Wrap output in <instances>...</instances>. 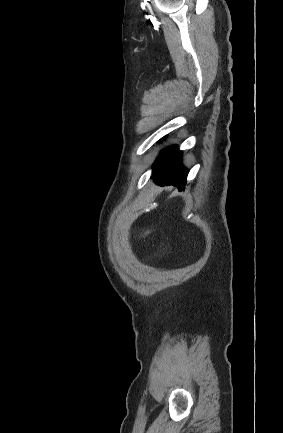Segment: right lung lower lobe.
Listing matches in <instances>:
<instances>
[{"label": "right lung lower lobe", "mask_w": 283, "mask_h": 433, "mask_svg": "<svg viewBox=\"0 0 283 433\" xmlns=\"http://www.w3.org/2000/svg\"><path fill=\"white\" fill-rule=\"evenodd\" d=\"M181 151L178 147H170L161 152L154 163L153 177L159 185H174L183 190L188 171L180 165Z\"/></svg>", "instance_id": "98d812e1"}]
</instances>
